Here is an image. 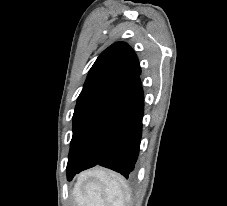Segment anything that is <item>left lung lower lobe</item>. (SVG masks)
I'll return each instance as SVG.
<instances>
[{
  "instance_id": "0a47b994",
  "label": "left lung lower lobe",
  "mask_w": 227,
  "mask_h": 206,
  "mask_svg": "<svg viewBox=\"0 0 227 206\" xmlns=\"http://www.w3.org/2000/svg\"><path fill=\"white\" fill-rule=\"evenodd\" d=\"M140 74L111 100L101 115L83 159L67 169V179L76 173L102 165L126 178L137 161L144 113V94Z\"/></svg>"
}]
</instances>
